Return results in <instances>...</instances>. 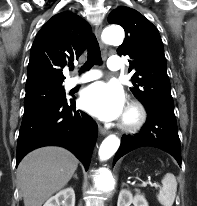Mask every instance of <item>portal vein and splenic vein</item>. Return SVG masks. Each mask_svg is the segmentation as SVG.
<instances>
[{
    "label": "portal vein and splenic vein",
    "instance_id": "18ae733b",
    "mask_svg": "<svg viewBox=\"0 0 197 206\" xmlns=\"http://www.w3.org/2000/svg\"><path fill=\"white\" fill-rule=\"evenodd\" d=\"M147 185H150L151 187H155V188L160 187L159 184H157V183H152V182H143V183L140 184L139 186H140V187H146Z\"/></svg>",
    "mask_w": 197,
    "mask_h": 206
}]
</instances>
